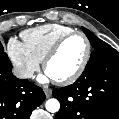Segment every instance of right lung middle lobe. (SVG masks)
<instances>
[{"label": "right lung middle lobe", "mask_w": 119, "mask_h": 119, "mask_svg": "<svg viewBox=\"0 0 119 119\" xmlns=\"http://www.w3.org/2000/svg\"><path fill=\"white\" fill-rule=\"evenodd\" d=\"M0 68L12 69V64L9 61L7 54L4 52L1 42H0Z\"/></svg>", "instance_id": "1"}]
</instances>
